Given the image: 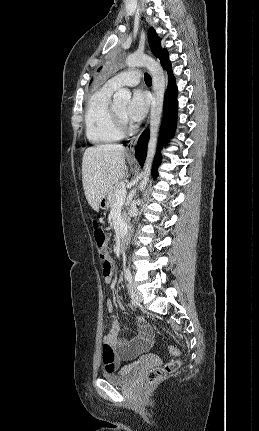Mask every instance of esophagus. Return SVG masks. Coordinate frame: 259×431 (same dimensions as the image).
<instances>
[{
    "label": "esophagus",
    "instance_id": "1",
    "mask_svg": "<svg viewBox=\"0 0 259 431\" xmlns=\"http://www.w3.org/2000/svg\"><path fill=\"white\" fill-rule=\"evenodd\" d=\"M140 135H141V133L138 134L137 136L132 137L130 139L129 143L127 144L126 151H127V154L130 158L135 157V147H136V144L138 142Z\"/></svg>",
    "mask_w": 259,
    "mask_h": 431
}]
</instances>
